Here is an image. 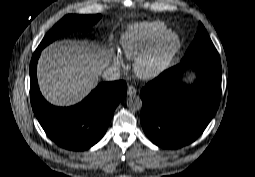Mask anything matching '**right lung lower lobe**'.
Wrapping results in <instances>:
<instances>
[{
	"label": "right lung lower lobe",
	"instance_id": "1",
	"mask_svg": "<svg viewBox=\"0 0 255 177\" xmlns=\"http://www.w3.org/2000/svg\"><path fill=\"white\" fill-rule=\"evenodd\" d=\"M42 49L37 48L30 63V97L33 111L46 134L59 146L85 150L105 134L113 111L125 97L124 81L104 82L81 103L67 108L49 104L41 95L36 65Z\"/></svg>",
	"mask_w": 255,
	"mask_h": 177
}]
</instances>
